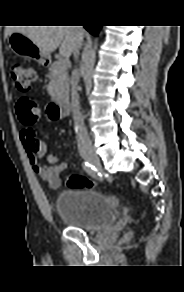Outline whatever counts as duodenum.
<instances>
[{"instance_id": "410a0bca", "label": "duodenum", "mask_w": 184, "mask_h": 292, "mask_svg": "<svg viewBox=\"0 0 184 292\" xmlns=\"http://www.w3.org/2000/svg\"><path fill=\"white\" fill-rule=\"evenodd\" d=\"M69 105L67 99H58L50 103L48 113L52 118L64 117L67 115Z\"/></svg>"}]
</instances>
